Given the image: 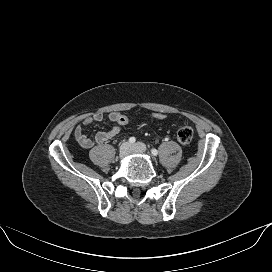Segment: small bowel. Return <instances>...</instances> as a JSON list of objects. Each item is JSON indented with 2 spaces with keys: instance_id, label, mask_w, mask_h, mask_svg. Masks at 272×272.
Instances as JSON below:
<instances>
[{
  "instance_id": "c3829d8e",
  "label": "small bowel",
  "mask_w": 272,
  "mask_h": 272,
  "mask_svg": "<svg viewBox=\"0 0 272 272\" xmlns=\"http://www.w3.org/2000/svg\"><path fill=\"white\" fill-rule=\"evenodd\" d=\"M118 112H111L107 115V119L113 123L112 126H110L105 131H100L95 134L93 138H90L86 134V129L91 124L96 122H101L104 119V114L102 112H94L87 116L81 123H79L75 130H74V138L77 141V143L85 148L90 149L93 146L101 145L109 140H111L113 137H115L121 130V126L116 122Z\"/></svg>"
}]
</instances>
